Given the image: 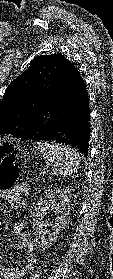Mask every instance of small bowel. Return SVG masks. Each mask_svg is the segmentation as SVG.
I'll use <instances>...</instances> for the list:
<instances>
[{"instance_id":"1","label":"small bowel","mask_w":113,"mask_h":279,"mask_svg":"<svg viewBox=\"0 0 113 279\" xmlns=\"http://www.w3.org/2000/svg\"><path fill=\"white\" fill-rule=\"evenodd\" d=\"M0 198L7 200L13 206L21 207L24 204L23 198L15 194H0ZM13 231L17 239V245L22 252L25 264L24 268L6 269L0 263V279H24L27 272H31L36 267V258L33 253V245L30 233L25 229L22 222H16Z\"/></svg>"}]
</instances>
